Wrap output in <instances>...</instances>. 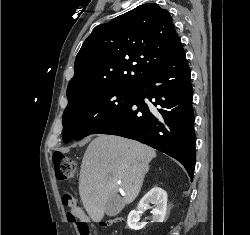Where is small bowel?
I'll list each match as a JSON object with an SVG mask.
<instances>
[{
  "mask_svg": "<svg viewBox=\"0 0 250 235\" xmlns=\"http://www.w3.org/2000/svg\"><path fill=\"white\" fill-rule=\"evenodd\" d=\"M71 212L74 216H76L78 218H82V219L85 218V215L79 206H73L71 208Z\"/></svg>",
  "mask_w": 250,
  "mask_h": 235,
  "instance_id": "small-bowel-1",
  "label": "small bowel"
}]
</instances>
